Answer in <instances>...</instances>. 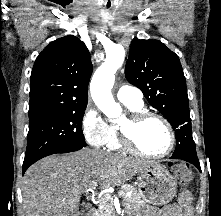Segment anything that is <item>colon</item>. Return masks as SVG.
I'll return each instance as SVG.
<instances>
[{"label": "colon", "mask_w": 221, "mask_h": 216, "mask_svg": "<svg viewBox=\"0 0 221 216\" xmlns=\"http://www.w3.org/2000/svg\"><path fill=\"white\" fill-rule=\"evenodd\" d=\"M173 172L183 182H187L189 179V169L186 165L178 163L172 166Z\"/></svg>", "instance_id": "colon-1"}]
</instances>
